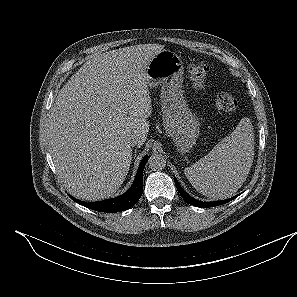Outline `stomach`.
<instances>
[{"instance_id":"0dacf381","label":"stomach","mask_w":297,"mask_h":297,"mask_svg":"<svg viewBox=\"0 0 297 297\" xmlns=\"http://www.w3.org/2000/svg\"><path fill=\"white\" fill-rule=\"evenodd\" d=\"M183 62L170 50L157 53L146 68L147 85L161 86V107L166 133L181 154L189 152L199 137V122L183 95Z\"/></svg>"}]
</instances>
